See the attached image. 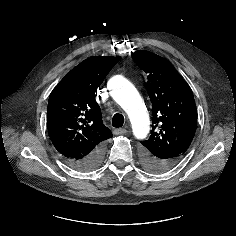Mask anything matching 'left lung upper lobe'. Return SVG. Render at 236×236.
<instances>
[{
  "instance_id": "5c2ea615",
  "label": "left lung upper lobe",
  "mask_w": 236,
  "mask_h": 236,
  "mask_svg": "<svg viewBox=\"0 0 236 236\" xmlns=\"http://www.w3.org/2000/svg\"><path fill=\"white\" fill-rule=\"evenodd\" d=\"M133 57L148 74L153 106L151 135L141 142V160L147 170L158 172L164 158L173 153L182 157L189 148L197 127L196 104L190 87L168 60L145 50Z\"/></svg>"
}]
</instances>
